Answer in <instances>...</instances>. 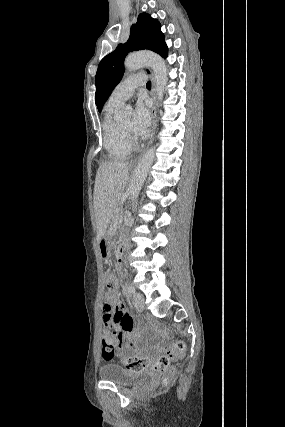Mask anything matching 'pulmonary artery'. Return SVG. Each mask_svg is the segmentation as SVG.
I'll return each mask as SVG.
<instances>
[{
  "instance_id": "obj_1",
  "label": "pulmonary artery",
  "mask_w": 285,
  "mask_h": 427,
  "mask_svg": "<svg viewBox=\"0 0 285 427\" xmlns=\"http://www.w3.org/2000/svg\"><path fill=\"white\" fill-rule=\"evenodd\" d=\"M145 84V76L141 74L126 77L111 93L108 102L115 105H123L130 99L138 86Z\"/></svg>"
}]
</instances>
